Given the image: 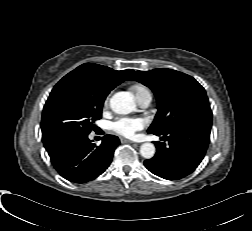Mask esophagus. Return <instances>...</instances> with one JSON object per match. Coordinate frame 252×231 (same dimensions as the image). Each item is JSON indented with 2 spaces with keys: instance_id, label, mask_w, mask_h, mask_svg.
<instances>
[{
  "instance_id": "obj_1",
  "label": "esophagus",
  "mask_w": 252,
  "mask_h": 231,
  "mask_svg": "<svg viewBox=\"0 0 252 231\" xmlns=\"http://www.w3.org/2000/svg\"><path fill=\"white\" fill-rule=\"evenodd\" d=\"M121 142L122 143H134L133 141L125 139V138H121Z\"/></svg>"
}]
</instances>
